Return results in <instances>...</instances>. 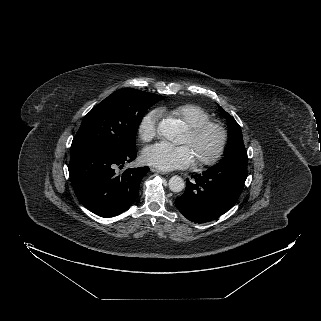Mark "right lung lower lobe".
<instances>
[{
  "instance_id": "1",
  "label": "right lung lower lobe",
  "mask_w": 321,
  "mask_h": 321,
  "mask_svg": "<svg viewBox=\"0 0 321 321\" xmlns=\"http://www.w3.org/2000/svg\"><path fill=\"white\" fill-rule=\"evenodd\" d=\"M134 150L113 152L95 147L71 149L69 175L78 200L101 217L116 216L129 208L139 193L149 167L130 168L117 174L115 168L135 159Z\"/></svg>"
}]
</instances>
